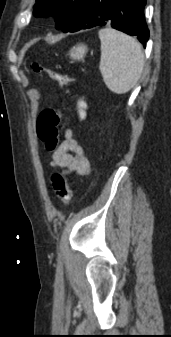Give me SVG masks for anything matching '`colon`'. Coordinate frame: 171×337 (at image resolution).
<instances>
[{"label": "colon", "mask_w": 171, "mask_h": 337, "mask_svg": "<svg viewBox=\"0 0 171 337\" xmlns=\"http://www.w3.org/2000/svg\"><path fill=\"white\" fill-rule=\"evenodd\" d=\"M32 69L38 73H45L53 83L58 87H73L74 83L66 75L59 72L45 69L39 64L34 63ZM74 109L77 116L83 119L86 110V101L84 96L76 92L73 96ZM64 113L58 108H48L40 112L36 122V132L38 138L45 144L48 151H54L59 143V125L64 119ZM52 184L56 196L63 205H67L72 196L71 183L68 178L60 173L52 177Z\"/></svg>", "instance_id": "colon-1"}]
</instances>
